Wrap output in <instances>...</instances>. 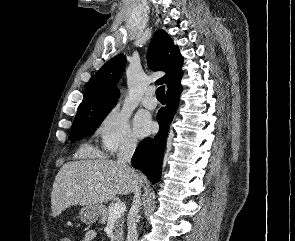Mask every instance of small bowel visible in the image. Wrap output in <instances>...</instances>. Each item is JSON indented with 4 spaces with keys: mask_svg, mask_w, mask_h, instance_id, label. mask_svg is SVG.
Masks as SVG:
<instances>
[{
    "mask_svg": "<svg viewBox=\"0 0 295 241\" xmlns=\"http://www.w3.org/2000/svg\"><path fill=\"white\" fill-rule=\"evenodd\" d=\"M97 233L95 230H87L85 231L81 241H95ZM60 241H71L69 238H62Z\"/></svg>",
    "mask_w": 295,
    "mask_h": 241,
    "instance_id": "small-bowel-1",
    "label": "small bowel"
}]
</instances>
